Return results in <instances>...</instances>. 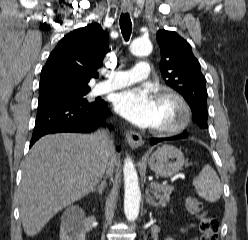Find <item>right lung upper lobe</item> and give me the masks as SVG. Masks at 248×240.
Segmentation results:
<instances>
[{
	"instance_id": "cb5924a9",
	"label": "right lung upper lobe",
	"mask_w": 248,
	"mask_h": 240,
	"mask_svg": "<svg viewBox=\"0 0 248 240\" xmlns=\"http://www.w3.org/2000/svg\"><path fill=\"white\" fill-rule=\"evenodd\" d=\"M108 52V34L98 23L65 35L51 52L41 71L39 100L90 91L87 85L98 77Z\"/></svg>"
}]
</instances>
